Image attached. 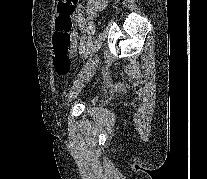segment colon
Returning <instances> with one entry per match:
<instances>
[{
	"mask_svg": "<svg viewBox=\"0 0 207 179\" xmlns=\"http://www.w3.org/2000/svg\"><path fill=\"white\" fill-rule=\"evenodd\" d=\"M78 0H60L55 19L54 58L53 65L58 75L64 76L71 68L70 46L72 44V16L75 13Z\"/></svg>",
	"mask_w": 207,
	"mask_h": 179,
	"instance_id": "1",
	"label": "colon"
}]
</instances>
